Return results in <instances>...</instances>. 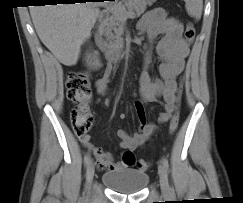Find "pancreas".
Wrapping results in <instances>:
<instances>
[{"label": "pancreas", "instance_id": "cf45deb5", "mask_svg": "<svg viewBox=\"0 0 243 203\" xmlns=\"http://www.w3.org/2000/svg\"><path fill=\"white\" fill-rule=\"evenodd\" d=\"M155 0H122L119 7L125 9L127 12H133L134 17H139L147 8V5H152ZM110 15L102 24L101 31L106 38V46L110 49L118 50L122 47V28L121 23L124 21L119 12L110 10Z\"/></svg>", "mask_w": 243, "mask_h": 203}]
</instances>
